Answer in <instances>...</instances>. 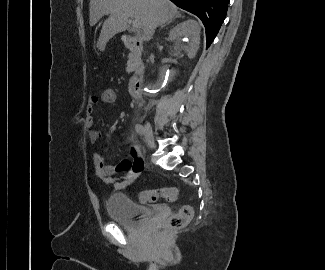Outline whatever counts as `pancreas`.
<instances>
[{
  "label": "pancreas",
  "mask_w": 325,
  "mask_h": 270,
  "mask_svg": "<svg viewBox=\"0 0 325 270\" xmlns=\"http://www.w3.org/2000/svg\"><path fill=\"white\" fill-rule=\"evenodd\" d=\"M134 70V66L130 62L127 63V72H132Z\"/></svg>",
  "instance_id": "cf45deb5"
}]
</instances>
